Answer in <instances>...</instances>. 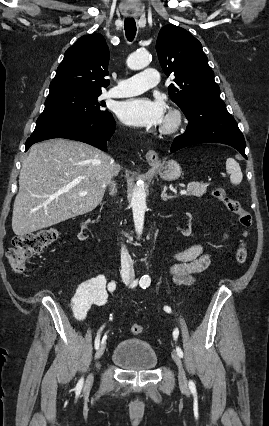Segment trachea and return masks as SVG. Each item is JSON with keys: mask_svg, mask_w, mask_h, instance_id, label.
<instances>
[{"mask_svg": "<svg viewBox=\"0 0 269 426\" xmlns=\"http://www.w3.org/2000/svg\"><path fill=\"white\" fill-rule=\"evenodd\" d=\"M125 34L128 41H133L136 35V23L133 18H127L124 22Z\"/></svg>", "mask_w": 269, "mask_h": 426, "instance_id": "1", "label": "trachea"}]
</instances>
